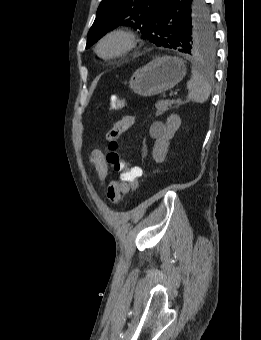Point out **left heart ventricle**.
Wrapping results in <instances>:
<instances>
[{
  "label": "left heart ventricle",
  "mask_w": 261,
  "mask_h": 340,
  "mask_svg": "<svg viewBox=\"0 0 261 340\" xmlns=\"http://www.w3.org/2000/svg\"><path fill=\"white\" fill-rule=\"evenodd\" d=\"M122 46V42L118 39H111L104 43L102 46V52L104 54H111L119 50Z\"/></svg>",
  "instance_id": "b2bd125f"
}]
</instances>
